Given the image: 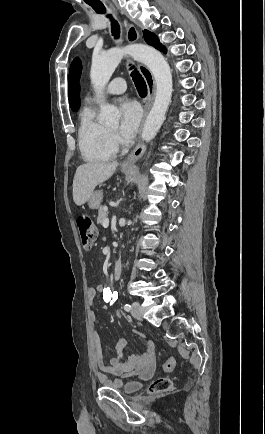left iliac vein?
Returning <instances> with one entry per match:
<instances>
[{"mask_svg":"<svg viewBox=\"0 0 265 434\" xmlns=\"http://www.w3.org/2000/svg\"><path fill=\"white\" fill-rule=\"evenodd\" d=\"M132 316L137 319V320H141L142 319V309H141V305L138 302H133L132 303Z\"/></svg>","mask_w":265,"mask_h":434,"instance_id":"obj_1","label":"left iliac vein"}]
</instances>
